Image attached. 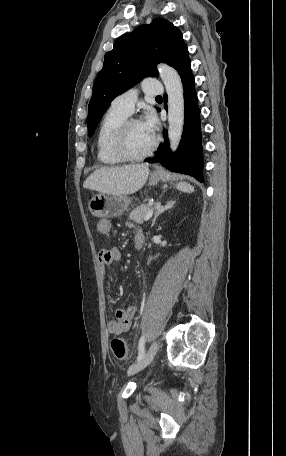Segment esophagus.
<instances>
[{"instance_id": "1", "label": "esophagus", "mask_w": 286, "mask_h": 456, "mask_svg": "<svg viewBox=\"0 0 286 456\" xmlns=\"http://www.w3.org/2000/svg\"><path fill=\"white\" fill-rule=\"evenodd\" d=\"M160 169L159 168H156L155 171H159Z\"/></svg>"}]
</instances>
